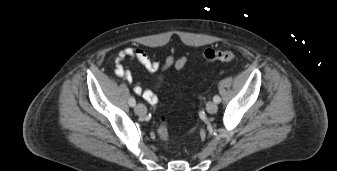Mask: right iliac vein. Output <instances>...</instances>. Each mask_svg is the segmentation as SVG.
<instances>
[{"label": "right iliac vein", "mask_w": 337, "mask_h": 171, "mask_svg": "<svg viewBox=\"0 0 337 171\" xmlns=\"http://www.w3.org/2000/svg\"><path fill=\"white\" fill-rule=\"evenodd\" d=\"M134 110L139 116H144L147 113V108L143 104H137Z\"/></svg>", "instance_id": "obj_1"}]
</instances>
